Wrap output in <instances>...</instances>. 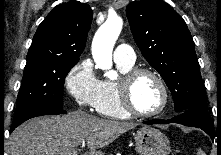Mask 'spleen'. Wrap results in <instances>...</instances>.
Returning a JSON list of instances; mask_svg holds the SVG:
<instances>
[{"mask_svg":"<svg viewBox=\"0 0 221 155\" xmlns=\"http://www.w3.org/2000/svg\"><path fill=\"white\" fill-rule=\"evenodd\" d=\"M197 155H205V153L201 149H199Z\"/></svg>","mask_w":221,"mask_h":155,"instance_id":"3e777b00","label":"spleen"}]
</instances>
